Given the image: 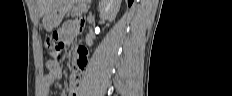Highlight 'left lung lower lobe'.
Here are the masks:
<instances>
[{
  "label": "left lung lower lobe",
  "mask_w": 232,
  "mask_h": 96,
  "mask_svg": "<svg viewBox=\"0 0 232 96\" xmlns=\"http://www.w3.org/2000/svg\"><path fill=\"white\" fill-rule=\"evenodd\" d=\"M133 0H128L129 6L132 4Z\"/></svg>",
  "instance_id": "obj_1"
}]
</instances>
